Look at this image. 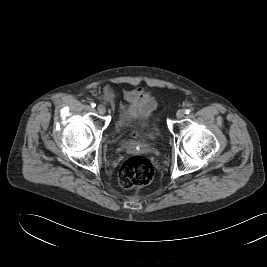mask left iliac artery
Here are the masks:
<instances>
[{
	"label": "left iliac artery",
	"instance_id": "obj_1",
	"mask_svg": "<svg viewBox=\"0 0 267 267\" xmlns=\"http://www.w3.org/2000/svg\"><path fill=\"white\" fill-rule=\"evenodd\" d=\"M185 113H186V114L191 113V109H189V108H188V109H185Z\"/></svg>",
	"mask_w": 267,
	"mask_h": 267
}]
</instances>
